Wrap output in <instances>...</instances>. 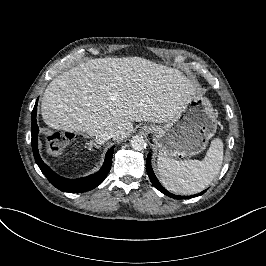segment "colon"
Wrapping results in <instances>:
<instances>
[{
    "label": "colon",
    "mask_w": 266,
    "mask_h": 266,
    "mask_svg": "<svg viewBox=\"0 0 266 266\" xmlns=\"http://www.w3.org/2000/svg\"><path fill=\"white\" fill-rule=\"evenodd\" d=\"M45 147L52 153L61 152L65 147V138L60 132H54L46 136Z\"/></svg>",
    "instance_id": "1"
}]
</instances>
